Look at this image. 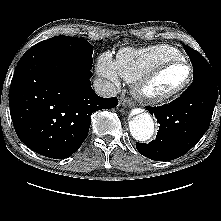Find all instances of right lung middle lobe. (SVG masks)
<instances>
[{
	"label": "right lung middle lobe",
	"mask_w": 221,
	"mask_h": 221,
	"mask_svg": "<svg viewBox=\"0 0 221 221\" xmlns=\"http://www.w3.org/2000/svg\"><path fill=\"white\" fill-rule=\"evenodd\" d=\"M32 48L45 51L78 67L92 69L93 46L84 39L55 36L37 43Z\"/></svg>",
	"instance_id": "obj_1"
}]
</instances>
